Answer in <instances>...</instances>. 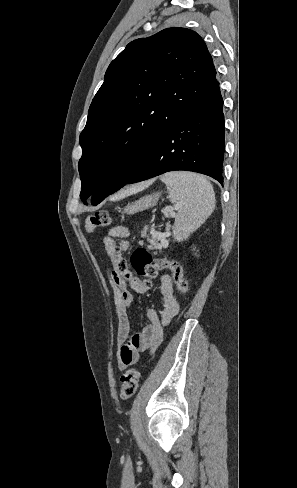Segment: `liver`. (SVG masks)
<instances>
[{
    "label": "liver",
    "mask_w": 297,
    "mask_h": 488,
    "mask_svg": "<svg viewBox=\"0 0 297 488\" xmlns=\"http://www.w3.org/2000/svg\"><path fill=\"white\" fill-rule=\"evenodd\" d=\"M150 183L151 182H146V183L139 184V185L131 188L130 190H128V192H133V191H136V190L143 189V188L147 187Z\"/></svg>",
    "instance_id": "liver-1"
}]
</instances>
